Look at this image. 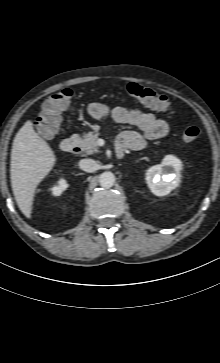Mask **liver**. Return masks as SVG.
Listing matches in <instances>:
<instances>
[{"label": "liver", "mask_w": 220, "mask_h": 363, "mask_svg": "<svg viewBox=\"0 0 220 363\" xmlns=\"http://www.w3.org/2000/svg\"><path fill=\"white\" fill-rule=\"evenodd\" d=\"M56 164L50 145L28 120L17 132L11 150L12 191L21 212L31 218L35 190Z\"/></svg>", "instance_id": "6515ba94"}]
</instances>
